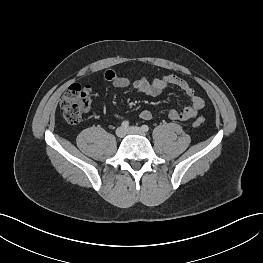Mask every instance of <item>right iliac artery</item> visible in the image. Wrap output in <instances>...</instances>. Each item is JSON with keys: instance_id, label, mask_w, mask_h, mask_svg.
Returning <instances> with one entry per match:
<instances>
[{"instance_id": "right-iliac-artery-1", "label": "right iliac artery", "mask_w": 263, "mask_h": 263, "mask_svg": "<svg viewBox=\"0 0 263 263\" xmlns=\"http://www.w3.org/2000/svg\"><path fill=\"white\" fill-rule=\"evenodd\" d=\"M121 126L124 128V129H127L129 127V122L128 121H123Z\"/></svg>"}]
</instances>
